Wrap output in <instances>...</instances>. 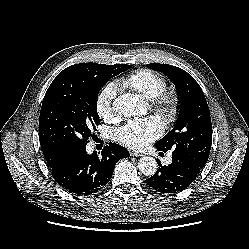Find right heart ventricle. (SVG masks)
I'll list each match as a JSON object with an SVG mask.
<instances>
[{
    "mask_svg": "<svg viewBox=\"0 0 249 249\" xmlns=\"http://www.w3.org/2000/svg\"><path fill=\"white\" fill-rule=\"evenodd\" d=\"M119 84L123 88L137 92L146 99H151L165 89L166 80L155 71L139 69L122 78Z\"/></svg>",
    "mask_w": 249,
    "mask_h": 249,
    "instance_id": "obj_1",
    "label": "right heart ventricle"
}]
</instances>
